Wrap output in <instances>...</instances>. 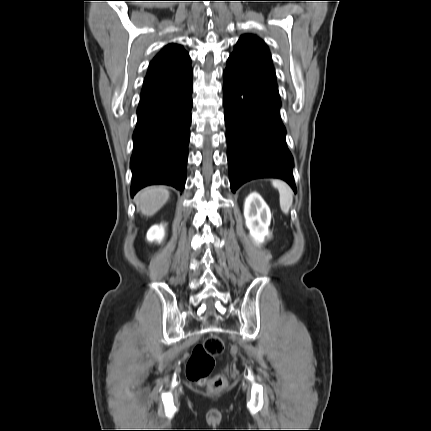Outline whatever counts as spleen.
<instances>
[{
    "mask_svg": "<svg viewBox=\"0 0 431 431\" xmlns=\"http://www.w3.org/2000/svg\"><path fill=\"white\" fill-rule=\"evenodd\" d=\"M272 185L279 191L280 208L283 213L288 214L293 203V191L285 182L272 180Z\"/></svg>",
    "mask_w": 431,
    "mask_h": 431,
    "instance_id": "obj_1",
    "label": "spleen"
}]
</instances>
